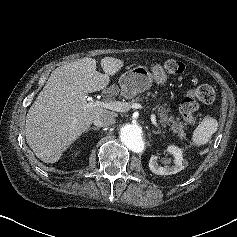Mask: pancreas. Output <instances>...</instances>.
<instances>
[{
  "mask_svg": "<svg viewBox=\"0 0 237 237\" xmlns=\"http://www.w3.org/2000/svg\"><path fill=\"white\" fill-rule=\"evenodd\" d=\"M147 95L149 96L150 93H147ZM142 100H143V97H136L135 99H133L128 104L131 105L133 103H137V102H140ZM156 109L158 111L159 122L162 125H169L170 123H172V128H173L174 132H177L180 137L185 136L183 122L180 121V118H178V117L175 118L174 116L169 114L170 109L166 108V104L157 105Z\"/></svg>",
  "mask_w": 237,
  "mask_h": 237,
  "instance_id": "cf45deb5",
  "label": "pancreas"
}]
</instances>
